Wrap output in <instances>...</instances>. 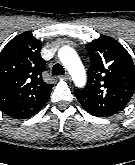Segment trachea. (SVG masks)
<instances>
[{"label": "trachea", "mask_w": 135, "mask_h": 165, "mask_svg": "<svg viewBox=\"0 0 135 165\" xmlns=\"http://www.w3.org/2000/svg\"><path fill=\"white\" fill-rule=\"evenodd\" d=\"M64 72L63 66L59 63L55 64L52 68V75H63Z\"/></svg>", "instance_id": "obj_1"}]
</instances>
